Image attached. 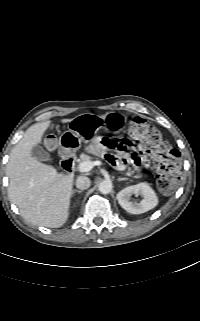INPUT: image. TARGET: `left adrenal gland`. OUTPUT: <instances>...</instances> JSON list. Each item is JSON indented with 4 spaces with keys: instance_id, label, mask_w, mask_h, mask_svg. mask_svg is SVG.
Here are the masks:
<instances>
[{
    "instance_id": "obj_1",
    "label": "left adrenal gland",
    "mask_w": 200,
    "mask_h": 321,
    "mask_svg": "<svg viewBox=\"0 0 200 321\" xmlns=\"http://www.w3.org/2000/svg\"><path fill=\"white\" fill-rule=\"evenodd\" d=\"M128 180V178H118V181Z\"/></svg>"
}]
</instances>
